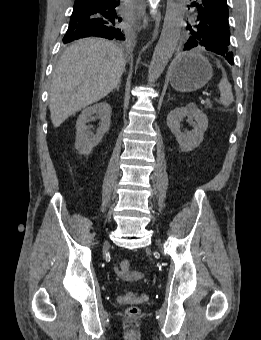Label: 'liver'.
I'll use <instances>...</instances> for the list:
<instances>
[{
    "instance_id": "liver-1",
    "label": "liver",
    "mask_w": 261,
    "mask_h": 340,
    "mask_svg": "<svg viewBox=\"0 0 261 340\" xmlns=\"http://www.w3.org/2000/svg\"><path fill=\"white\" fill-rule=\"evenodd\" d=\"M126 60L115 44L86 38L68 47L57 62L49 91L55 128L109 94L121 80Z\"/></svg>"
}]
</instances>
